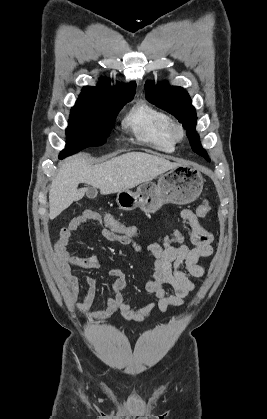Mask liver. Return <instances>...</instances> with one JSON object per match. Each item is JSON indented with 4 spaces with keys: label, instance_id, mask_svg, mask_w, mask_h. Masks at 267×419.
I'll list each match as a JSON object with an SVG mask.
<instances>
[{
    "label": "liver",
    "instance_id": "liver-1",
    "mask_svg": "<svg viewBox=\"0 0 267 419\" xmlns=\"http://www.w3.org/2000/svg\"><path fill=\"white\" fill-rule=\"evenodd\" d=\"M162 157L144 152H129L98 165L86 155H77L59 163L49 190V218H56L74 201L83 198L86 189L80 183L98 188L102 195L129 190L178 166Z\"/></svg>",
    "mask_w": 267,
    "mask_h": 419
}]
</instances>
